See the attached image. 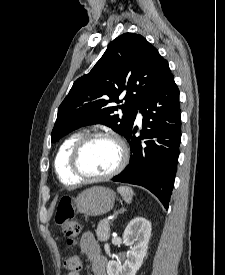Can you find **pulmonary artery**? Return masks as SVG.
Instances as JSON below:
<instances>
[{
    "instance_id": "obj_1",
    "label": "pulmonary artery",
    "mask_w": 225,
    "mask_h": 275,
    "mask_svg": "<svg viewBox=\"0 0 225 275\" xmlns=\"http://www.w3.org/2000/svg\"><path fill=\"white\" fill-rule=\"evenodd\" d=\"M137 120L140 122L142 120V114L139 112L137 115Z\"/></svg>"
}]
</instances>
